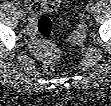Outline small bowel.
I'll return each instance as SVG.
<instances>
[{"mask_svg":"<svg viewBox=\"0 0 111 106\" xmlns=\"http://www.w3.org/2000/svg\"><path fill=\"white\" fill-rule=\"evenodd\" d=\"M62 1L60 0H37L27 1V5L33 14H37L41 11H53L55 10ZM33 28L31 27V30Z\"/></svg>","mask_w":111,"mask_h":106,"instance_id":"1","label":"small bowel"}]
</instances>
